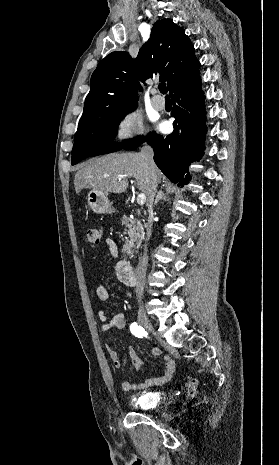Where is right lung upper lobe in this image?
<instances>
[{"label": "right lung upper lobe", "mask_w": 279, "mask_h": 465, "mask_svg": "<svg viewBox=\"0 0 279 465\" xmlns=\"http://www.w3.org/2000/svg\"><path fill=\"white\" fill-rule=\"evenodd\" d=\"M185 32L170 19L157 21L150 39L135 60L126 52L107 55L93 72L79 125L90 123L106 110H130L137 106L139 81L153 76L167 82L172 94L198 75L199 61ZM78 125V126H79Z\"/></svg>", "instance_id": "cb5924a9"}]
</instances>
